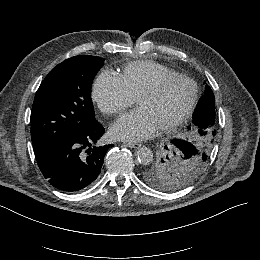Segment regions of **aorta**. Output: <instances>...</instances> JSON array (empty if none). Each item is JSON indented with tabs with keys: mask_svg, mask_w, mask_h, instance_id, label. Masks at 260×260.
<instances>
[{
	"mask_svg": "<svg viewBox=\"0 0 260 260\" xmlns=\"http://www.w3.org/2000/svg\"><path fill=\"white\" fill-rule=\"evenodd\" d=\"M136 159L142 165H147L153 160V153L147 147H141L136 151Z\"/></svg>",
	"mask_w": 260,
	"mask_h": 260,
	"instance_id": "762f6f07",
	"label": "aorta"
}]
</instances>
